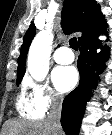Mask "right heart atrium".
<instances>
[{
    "mask_svg": "<svg viewBox=\"0 0 112 135\" xmlns=\"http://www.w3.org/2000/svg\"><path fill=\"white\" fill-rule=\"evenodd\" d=\"M25 87L29 91L33 105L43 114L56 108L61 103L60 95L46 82H37L32 79H27Z\"/></svg>",
    "mask_w": 112,
    "mask_h": 135,
    "instance_id": "1",
    "label": "right heart atrium"
}]
</instances>
